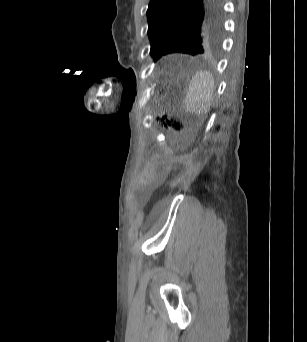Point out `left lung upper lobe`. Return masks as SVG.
<instances>
[{
  "mask_svg": "<svg viewBox=\"0 0 307 342\" xmlns=\"http://www.w3.org/2000/svg\"><path fill=\"white\" fill-rule=\"evenodd\" d=\"M220 0H151L147 10L150 54L201 55L215 49L222 32Z\"/></svg>",
  "mask_w": 307,
  "mask_h": 342,
  "instance_id": "left-lung-upper-lobe-1",
  "label": "left lung upper lobe"
}]
</instances>
